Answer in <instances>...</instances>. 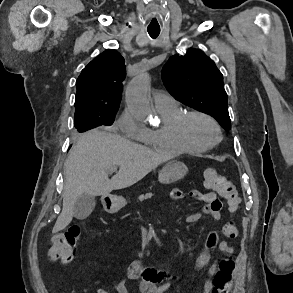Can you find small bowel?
Segmentation results:
<instances>
[{
  "label": "small bowel",
  "instance_id": "c3829d8e",
  "mask_svg": "<svg viewBox=\"0 0 293 293\" xmlns=\"http://www.w3.org/2000/svg\"><path fill=\"white\" fill-rule=\"evenodd\" d=\"M185 192L181 189H174L171 192V199L178 201L185 197ZM188 195L194 199L200 200L204 203L203 211L192 213L186 216L187 223H196L206 216L212 220H219L221 218V202L218 199L216 192L207 191L200 192L199 190H191ZM218 248L224 253L231 254L234 252V247L230 242L221 240L218 233L211 231L205 242V249L201 252L196 260V267L202 269L207 267L211 260V250ZM217 270L216 265L208 267L209 279L204 283L203 289L199 293H211L213 282L211 278L215 275ZM128 278L136 283L135 288H129L124 284V279ZM168 273L165 270L155 269L145 266L140 261L131 262L125 274L119 275L112 289L100 288L96 293H169L170 284L167 282Z\"/></svg>",
  "mask_w": 293,
  "mask_h": 293
}]
</instances>
